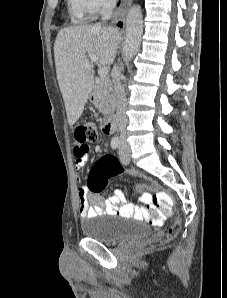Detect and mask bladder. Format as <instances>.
<instances>
[{
  "mask_svg": "<svg viewBox=\"0 0 227 298\" xmlns=\"http://www.w3.org/2000/svg\"><path fill=\"white\" fill-rule=\"evenodd\" d=\"M81 230L85 237L104 244L147 238L152 233L147 224L130 218L87 220L82 223Z\"/></svg>",
  "mask_w": 227,
  "mask_h": 298,
  "instance_id": "1",
  "label": "bladder"
}]
</instances>
